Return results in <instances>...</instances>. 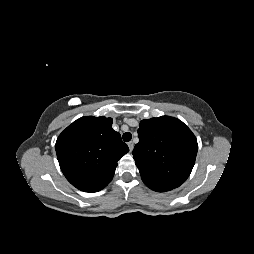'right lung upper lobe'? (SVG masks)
Masks as SVG:
<instances>
[{"mask_svg":"<svg viewBox=\"0 0 254 254\" xmlns=\"http://www.w3.org/2000/svg\"><path fill=\"white\" fill-rule=\"evenodd\" d=\"M112 118L81 117L56 141V154L67 180L84 192H97L112 180L117 161L129 148L112 129Z\"/></svg>","mask_w":254,"mask_h":254,"instance_id":"obj_1","label":"right lung upper lobe"}]
</instances>
